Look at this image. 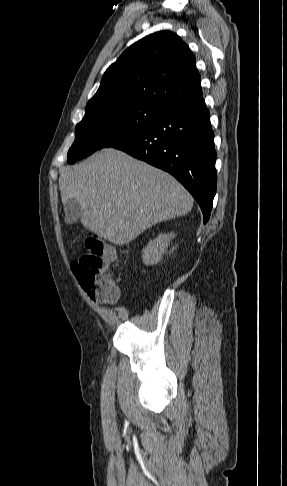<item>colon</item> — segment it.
Here are the masks:
<instances>
[{"label": "colon", "instance_id": "1", "mask_svg": "<svg viewBox=\"0 0 287 486\" xmlns=\"http://www.w3.org/2000/svg\"><path fill=\"white\" fill-rule=\"evenodd\" d=\"M86 248L87 252L72 264L76 279L92 300L116 302L119 289L108 272L109 265L115 260L113 247L94 235L86 240Z\"/></svg>", "mask_w": 287, "mask_h": 486}]
</instances>
